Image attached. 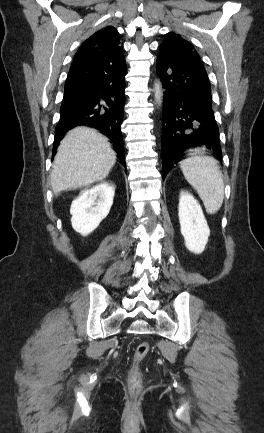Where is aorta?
Returning <instances> with one entry per match:
<instances>
[{"label":"aorta","mask_w":264,"mask_h":433,"mask_svg":"<svg viewBox=\"0 0 264 433\" xmlns=\"http://www.w3.org/2000/svg\"><path fill=\"white\" fill-rule=\"evenodd\" d=\"M154 91H155V101L157 104H161L162 103V99H163V89H162V84L159 80H157L155 82L154 85Z\"/></svg>","instance_id":"aorta-1"}]
</instances>
